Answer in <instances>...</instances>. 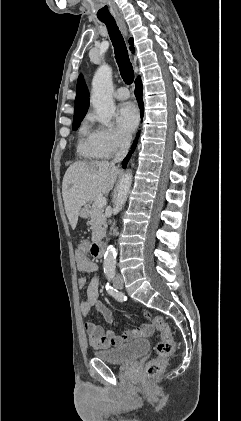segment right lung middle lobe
Segmentation results:
<instances>
[{
  "label": "right lung middle lobe",
  "instance_id": "right-lung-middle-lobe-1",
  "mask_svg": "<svg viewBox=\"0 0 241 421\" xmlns=\"http://www.w3.org/2000/svg\"><path fill=\"white\" fill-rule=\"evenodd\" d=\"M84 116L73 119V130H77Z\"/></svg>",
  "mask_w": 241,
  "mask_h": 421
}]
</instances>
